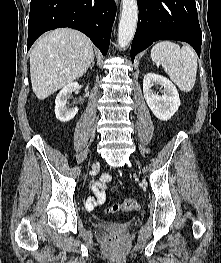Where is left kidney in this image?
I'll use <instances>...</instances> for the list:
<instances>
[{"label":"left kidney","instance_id":"obj_1","mask_svg":"<svg viewBox=\"0 0 221 263\" xmlns=\"http://www.w3.org/2000/svg\"><path fill=\"white\" fill-rule=\"evenodd\" d=\"M154 85H160L163 88L162 95L153 92ZM143 94L150 110L162 121L169 120L181 104L175 85L167 78L155 73L144 76Z\"/></svg>","mask_w":221,"mask_h":263}]
</instances>
